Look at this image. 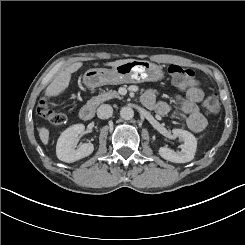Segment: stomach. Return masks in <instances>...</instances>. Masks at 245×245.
Masks as SVG:
<instances>
[{
  "label": "stomach",
  "mask_w": 245,
  "mask_h": 245,
  "mask_svg": "<svg viewBox=\"0 0 245 245\" xmlns=\"http://www.w3.org/2000/svg\"><path fill=\"white\" fill-rule=\"evenodd\" d=\"M164 77L165 71L162 65L136 60L123 63L112 69H89L83 75V83L89 89H93L106 84L160 82Z\"/></svg>",
  "instance_id": "1"
}]
</instances>
